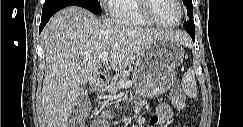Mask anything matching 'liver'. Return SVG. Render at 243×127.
<instances>
[{
  "label": "liver",
  "mask_w": 243,
  "mask_h": 127,
  "mask_svg": "<svg viewBox=\"0 0 243 127\" xmlns=\"http://www.w3.org/2000/svg\"><path fill=\"white\" fill-rule=\"evenodd\" d=\"M158 39L187 45L184 32L135 26L126 20L97 18L69 6L57 12L42 32L46 70L42 87V114L46 127H67L82 85L93 81L103 52L114 71L123 70Z\"/></svg>",
  "instance_id": "liver-1"
}]
</instances>
